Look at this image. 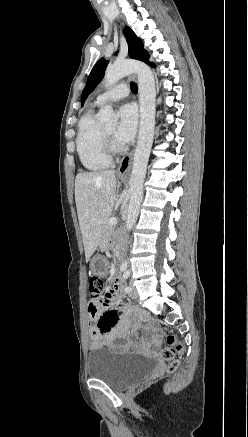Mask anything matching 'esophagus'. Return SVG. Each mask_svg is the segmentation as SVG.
I'll list each match as a JSON object with an SVG mask.
<instances>
[{"mask_svg":"<svg viewBox=\"0 0 248 437\" xmlns=\"http://www.w3.org/2000/svg\"><path fill=\"white\" fill-rule=\"evenodd\" d=\"M135 149H132L128 154H126L120 161V164L117 169V174L119 176H123L129 173L132 165V159L134 155Z\"/></svg>","mask_w":248,"mask_h":437,"instance_id":"1","label":"esophagus"}]
</instances>
